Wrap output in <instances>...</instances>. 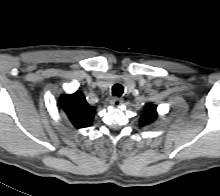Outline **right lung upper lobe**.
Returning a JSON list of instances; mask_svg holds the SVG:
<instances>
[{
    "instance_id": "1",
    "label": "right lung upper lobe",
    "mask_w": 220,
    "mask_h": 196,
    "mask_svg": "<svg viewBox=\"0 0 220 196\" xmlns=\"http://www.w3.org/2000/svg\"><path fill=\"white\" fill-rule=\"evenodd\" d=\"M59 103L74 127L79 129L92 124L95 108L88 105L80 91L62 96Z\"/></svg>"
}]
</instances>
